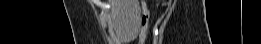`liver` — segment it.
Masks as SVG:
<instances>
[{"mask_svg":"<svg viewBox=\"0 0 261 44\" xmlns=\"http://www.w3.org/2000/svg\"><path fill=\"white\" fill-rule=\"evenodd\" d=\"M111 16L122 42L134 39L139 30V0H113Z\"/></svg>","mask_w":261,"mask_h":44,"instance_id":"liver-1","label":"liver"}]
</instances>
